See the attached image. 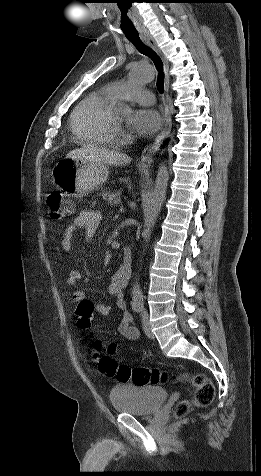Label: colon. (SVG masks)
<instances>
[{"label":"colon","instance_id":"1","mask_svg":"<svg viewBox=\"0 0 261 476\" xmlns=\"http://www.w3.org/2000/svg\"><path fill=\"white\" fill-rule=\"evenodd\" d=\"M48 216L53 221H62L73 213L72 205L60 193L54 192L47 197ZM78 327L88 329L93 320L94 306L90 301H82L76 309ZM94 353L98 356L99 370L106 376H116L120 381H130L136 385H155L167 380V374L157 368L129 367L118 365L114 359L116 346H105L101 341H92ZM180 381L188 382L195 388L194 402L198 406H208L215 395L214 385L203 373H183L177 376ZM191 408L188 401L180 402L175 408L177 417L185 416Z\"/></svg>","mask_w":261,"mask_h":476}]
</instances>
